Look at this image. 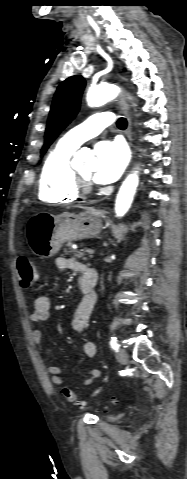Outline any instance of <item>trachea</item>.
Returning <instances> with one entry per match:
<instances>
[{"instance_id": "trachea-1", "label": "trachea", "mask_w": 187, "mask_h": 479, "mask_svg": "<svg viewBox=\"0 0 187 479\" xmlns=\"http://www.w3.org/2000/svg\"><path fill=\"white\" fill-rule=\"evenodd\" d=\"M116 124H117L118 128L124 129L127 126V120L125 118L121 117L117 120Z\"/></svg>"}]
</instances>
